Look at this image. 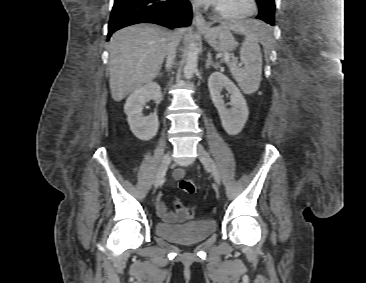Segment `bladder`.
Here are the masks:
<instances>
[{"mask_svg":"<svg viewBox=\"0 0 366 283\" xmlns=\"http://www.w3.org/2000/svg\"><path fill=\"white\" fill-rule=\"evenodd\" d=\"M216 230L213 219H202L184 224H169L157 221L154 232L161 238L177 244H196L209 237Z\"/></svg>","mask_w":366,"mask_h":283,"instance_id":"1","label":"bladder"}]
</instances>
